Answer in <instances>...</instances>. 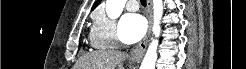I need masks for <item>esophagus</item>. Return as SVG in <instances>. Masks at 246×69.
Returning a JSON list of instances; mask_svg holds the SVG:
<instances>
[{
	"label": "esophagus",
	"mask_w": 246,
	"mask_h": 69,
	"mask_svg": "<svg viewBox=\"0 0 246 69\" xmlns=\"http://www.w3.org/2000/svg\"><path fill=\"white\" fill-rule=\"evenodd\" d=\"M147 6H148V32L147 35L144 39L143 42L139 43L138 45L134 46L131 51H130V58L132 61H139L143 55L144 52L146 50L147 44H148V40H149V36L151 33V27H152V1L151 0H147Z\"/></svg>",
	"instance_id": "esophagus-1"
}]
</instances>
